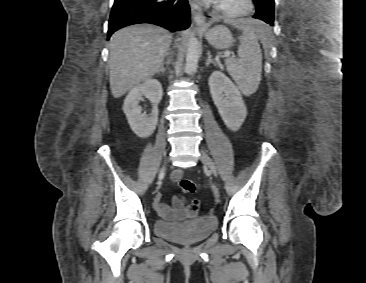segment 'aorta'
Segmentation results:
<instances>
[{"label": "aorta", "instance_id": "obj_1", "mask_svg": "<svg viewBox=\"0 0 366 283\" xmlns=\"http://www.w3.org/2000/svg\"><path fill=\"white\" fill-rule=\"evenodd\" d=\"M200 55L201 47L199 41L194 35H191L186 51L185 72L187 74H192L196 71Z\"/></svg>", "mask_w": 366, "mask_h": 283}]
</instances>
